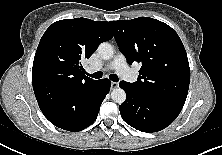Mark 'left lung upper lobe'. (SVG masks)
<instances>
[{"label": "left lung upper lobe", "mask_w": 222, "mask_h": 155, "mask_svg": "<svg viewBox=\"0 0 222 155\" xmlns=\"http://www.w3.org/2000/svg\"><path fill=\"white\" fill-rule=\"evenodd\" d=\"M110 23L128 63L142 64L138 80L130 85L143 95L183 108L190 68L178 34L167 24L149 17Z\"/></svg>", "instance_id": "5c2ea615"}]
</instances>
